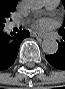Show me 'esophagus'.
<instances>
[{
  "mask_svg": "<svg viewBox=\"0 0 65 89\" xmlns=\"http://www.w3.org/2000/svg\"><path fill=\"white\" fill-rule=\"evenodd\" d=\"M31 35H32L33 37L42 38V39H44V38L47 37L45 34L40 33V32H36V31L31 32Z\"/></svg>",
  "mask_w": 65,
  "mask_h": 89,
  "instance_id": "obj_1",
  "label": "esophagus"
}]
</instances>
